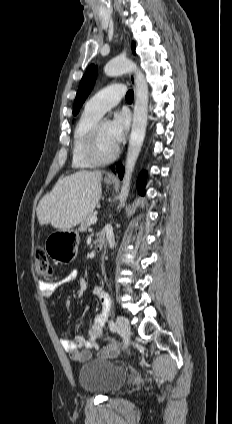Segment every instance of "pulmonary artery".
Returning <instances> with one entry per match:
<instances>
[{
  "mask_svg": "<svg viewBox=\"0 0 232 424\" xmlns=\"http://www.w3.org/2000/svg\"><path fill=\"white\" fill-rule=\"evenodd\" d=\"M126 93V87L122 84L107 86L95 94L87 103L86 108L103 115L112 107L116 106Z\"/></svg>",
  "mask_w": 232,
  "mask_h": 424,
  "instance_id": "1",
  "label": "pulmonary artery"
}]
</instances>
